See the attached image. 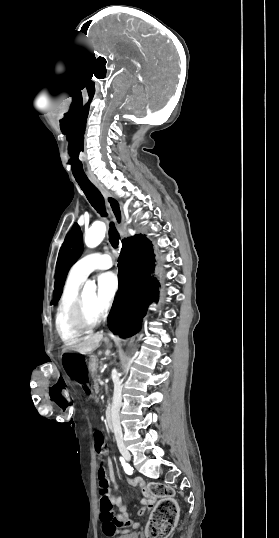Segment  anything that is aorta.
I'll use <instances>...</instances> for the list:
<instances>
[{
	"mask_svg": "<svg viewBox=\"0 0 279 538\" xmlns=\"http://www.w3.org/2000/svg\"><path fill=\"white\" fill-rule=\"evenodd\" d=\"M106 225L104 222L98 221L95 222L86 232H85V244L89 248H94L98 246L105 237ZM96 290V284L93 281H87L83 288V295L90 296L94 295Z\"/></svg>",
	"mask_w": 279,
	"mask_h": 538,
	"instance_id": "obj_1",
	"label": "aorta"
}]
</instances>
